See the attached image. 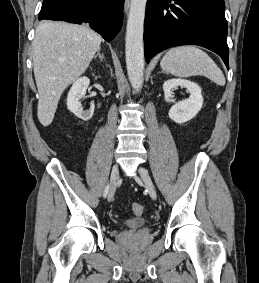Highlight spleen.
I'll return each mask as SVG.
<instances>
[{
    "mask_svg": "<svg viewBox=\"0 0 259 283\" xmlns=\"http://www.w3.org/2000/svg\"><path fill=\"white\" fill-rule=\"evenodd\" d=\"M161 68L174 76L187 78L203 75L220 86L225 77L215 62L195 46H180L170 49L160 62Z\"/></svg>",
    "mask_w": 259,
    "mask_h": 283,
    "instance_id": "obj_1",
    "label": "spleen"
}]
</instances>
